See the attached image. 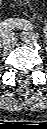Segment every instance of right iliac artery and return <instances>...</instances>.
<instances>
[{"label":"right iliac artery","mask_w":47,"mask_h":129,"mask_svg":"<svg viewBox=\"0 0 47 129\" xmlns=\"http://www.w3.org/2000/svg\"><path fill=\"white\" fill-rule=\"evenodd\" d=\"M14 28L32 30V25L28 21L23 19H7L1 23L0 26L1 36L5 37Z\"/></svg>","instance_id":"1"}]
</instances>
